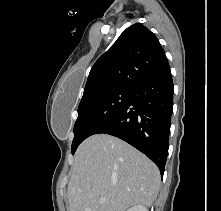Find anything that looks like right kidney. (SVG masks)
Wrapping results in <instances>:
<instances>
[{
  "mask_svg": "<svg viewBox=\"0 0 221 211\" xmlns=\"http://www.w3.org/2000/svg\"><path fill=\"white\" fill-rule=\"evenodd\" d=\"M127 211H148L146 207L142 205L133 206L132 208H129Z\"/></svg>",
  "mask_w": 221,
  "mask_h": 211,
  "instance_id": "right-kidney-1",
  "label": "right kidney"
}]
</instances>
